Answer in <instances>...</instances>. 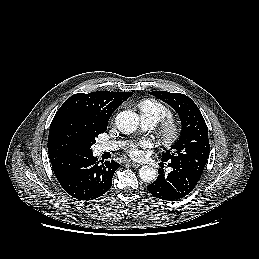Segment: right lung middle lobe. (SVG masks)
<instances>
[{
	"label": "right lung middle lobe",
	"instance_id": "right-lung-middle-lobe-1",
	"mask_svg": "<svg viewBox=\"0 0 259 259\" xmlns=\"http://www.w3.org/2000/svg\"><path fill=\"white\" fill-rule=\"evenodd\" d=\"M100 134L91 127L62 121L49 131L48 153L50 161L65 156L91 153V146Z\"/></svg>",
	"mask_w": 259,
	"mask_h": 259
}]
</instances>
